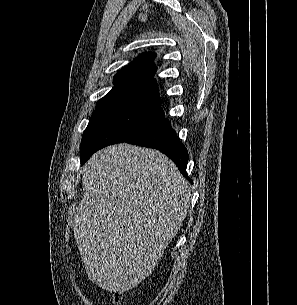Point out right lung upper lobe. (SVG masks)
Segmentation results:
<instances>
[{
  "mask_svg": "<svg viewBox=\"0 0 297 305\" xmlns=\"http://www.w3.org/2000/svg\"><path fill=\"white\" fill-rule=\"evenodd\" d=\"M154 54L143 53L114 76V87L97 104L121 98L146 99L161 103L158 87L153 78Z\"/></svg>",
  "mask_w": 297,
  "mask_h": 305,
  "instance_id": "obj_1",
  "label": "right lung upper lobe"
}]
</instances>
